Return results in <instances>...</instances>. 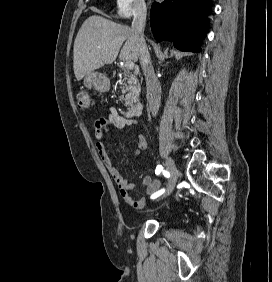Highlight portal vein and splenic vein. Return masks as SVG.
<instances>
[{"label": "portal vein and splenic vein", "mask_w": 272, "mask_h": 282, "mask_svg": "<svg viewBox=\"0 0 272 282\" xmlns=\"http://www.w3.org/2000/svg\"><path fill=\"white\" fill-rule=\"evenodd\" d=\"M124 66L126 69L131 70L134 68V63L132 61H126Z\"/></svg>", "instance_id": "1"}]
</instances>
